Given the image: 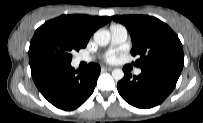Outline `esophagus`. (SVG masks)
<instances>
[{
	"label": "esophagus",
	"mask_w": 203,
	"mask_h": 123,
	"mask_svg": "<svg viewBox=\"0 0 203 123\" xmlns=\"http://www.w3.org/2000/svg\"><path fill=\"white\" fill-rule=\"evenodd\" d=\"M102 70H104V71H111V70H113V68L112 67L104 66V67H102Z\"/></svg>",
	"instance_id": "1"
}]
</instances>
